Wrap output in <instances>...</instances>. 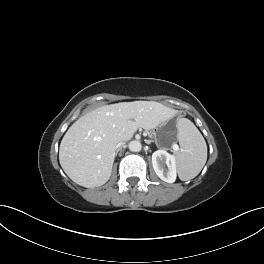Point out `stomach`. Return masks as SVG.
I'll return each mask as SVG.
<instances>
[{
    "label": "stomach",
    "mask_w": 264,
    "mask_h": 264,
    "mask_svg": "<svg viewBox=\"0 0 264 264\" xmlns=\"http://www.w3.org/2000/svg\"><path fill=\"white\" fill-rule=\"evenodd\" d=\"M181 114L171 117L169 121L164 122L154 131L155 145L159 149H166L169 145H173L177 141V125L176 122L181 121Z\"/></svg>",
    "instance_id": "1"
}]
</instances>
